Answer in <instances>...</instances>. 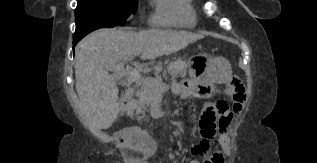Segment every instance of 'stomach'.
Wrapping results in <instances>:
<instances>
[{"mask_svg":"<svg viewBox=\"0 0 317 163\" xmlns=\"http://www.w3.org/2000/svg\"><path fill=\"white\" fill-rule=\"evenodd\" d=\"M201 69L203 71L200 73ZM191 75L198 80L209 79L216 83H223L231 75V65L223 57L206 55L201 62L200 68L191 69Z\"/></svg>","mask_w":317,"mask_h":163,"instance_id":"0dacf381","label":"stomach"}]
</instances>
